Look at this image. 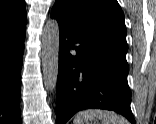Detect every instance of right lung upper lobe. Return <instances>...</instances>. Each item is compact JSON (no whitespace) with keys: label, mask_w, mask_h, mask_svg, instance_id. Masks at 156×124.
I'll return each mask as SVG.
<instances>
[{"label":"right lung upper lobe","mask_w":156,"mask_h":124,"mask_svg":"<svg viewBox=\"0 0 156 124\" xmlns=\"http://www.w3.org/2000/svg\"><path fill=\"white\" fill-rule=\"evenodd\" d=\"M25 27L24 0H0V31L21 30Z\"/></svg>","instance_id":"cb5924a9"}]
</instances>
